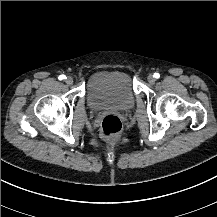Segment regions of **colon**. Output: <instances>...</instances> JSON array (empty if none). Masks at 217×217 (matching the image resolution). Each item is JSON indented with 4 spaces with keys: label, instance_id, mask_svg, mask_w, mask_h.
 <instances>
[{
    "label": "colon",
    "instance_id": "1",
    "mask_svg": "<svg viewBox=\"0 0 217 217\" xmlns=\"http://www.w3.org/2000/svg\"><path fill=\"white\" fill-rule=\"evenodd\" d=\"M122 129L120 118L116 114H108L104 117L101 125L102 136L109 142H115L119 138Z\"/></svg>",
    "mask_w": 217,
    "mask_h": 217
}]
</instances>
